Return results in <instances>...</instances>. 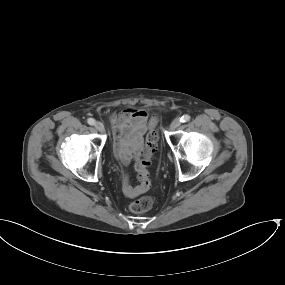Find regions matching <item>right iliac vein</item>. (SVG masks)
<instances>
[{
    "label": "right iliac vein",
    "instance_id": "63e3f726",
    "mask_svg": "<svg viewBox=\"0 0 285 285\" xmlns=\"http://www.w3.org/2000/svg\"><path fill=\"white\" fill-rule=\"evenodd\" d=\"M94 126H95V128H96L99 132H101V133H103V132L105 131L103 124H102L101 122H99V121H97V122L94 124Z\"/></svg>",
    "mask_w": 285,
    "mask_h": 285
}]
</instances>
